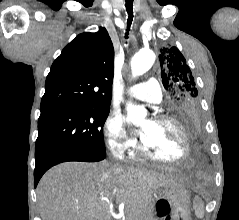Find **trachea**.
<instances>
[{
  "instance_id": "obj_1",
  "label": "trachea",
  "mask_w": 239,
  "mask_h": 220,
  "mask_svg": "<svg viewBox=\"0 0 239 220\" xmlns=\"http://www.w3.org/2000/svg\"><path fill=\"white\" fill-rule=\"evenodd\" d=\"M126 4V10H127V13H128V28L130 27L131 25V22H132V18H133V0H125ZM129 30V29H127ZM128 33H126L127 35Z\"/></svg>"
}]
</instances>
